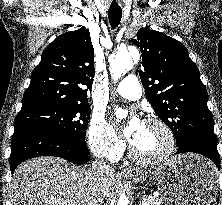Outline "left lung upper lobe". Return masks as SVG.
I'll return each instance as SVG.
<instances>
[{"label":"left lung upper lobe","mask_w":222,"mask_h":205,"mask_svg":"<svg viewBox=\"0 0 222 205\" xmlns=\"http://www.w3.org/2000/svg\"><path fill=\"white\" fill-rule=\"evenodd\" d=\"M132 43L141 48L145 95L174 133L177 146L198 136L217 142L207 91L185 46L147 27Z\"/></svg>","instance_id":"1"}]
</instances>
